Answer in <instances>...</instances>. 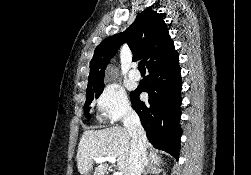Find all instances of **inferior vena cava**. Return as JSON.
<instances>
[{"instance_id": "602c4592", "label": "inferior vena cava", "mask_w": 251, "mask_h": 175, "mask_svg": "<svg viewBox=\"0 0 251 175\" xmlns=\"http://www.w3.org/2000/svg\"><path fill=\"white\" fill-rule=\"evenodd\" d=\"M123 125L131 137L130 165L127 175H141L147 165V137L135 109H127L123 117Z\"/></svg>"}]
</instances>
